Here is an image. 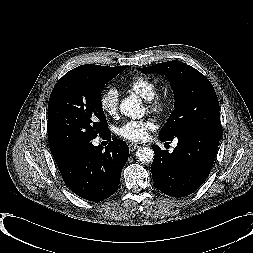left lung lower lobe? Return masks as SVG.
Listing matches in <instances>:
<instances>
[{"label":"left lung lower lobe","mask_w":253,"mask_h":253,"mask_svg":"<svg viewBox=\"0 0 253 253\" xmlns=\"http://www.w3.org/2000/svg\"><path fill=\"white\" fill-rule=\"evenodd\" d=\"M220 131L194 128L177 137L172 153L153 145L154 184L164 194L185 197L195 192L208 177L215 161ZM161 141H170L160 137Z\"/></svg>","instance_id":"obj_1"}]
</instances>
